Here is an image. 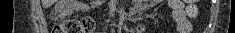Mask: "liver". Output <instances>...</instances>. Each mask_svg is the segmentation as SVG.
<instances>
[{"label": "liver", "instance_id": "liver-1", "mask_svg": "<svg viewBox=\"0 0 235 33\" xmlns=\"http://www.w3.org/2000/svg\"><path fill=\"white\" fill-rule=\"evenodd\" d=\"M41 2L43 8H48L55 3V0H42Z\"/></svg>", "mask_w": 235, "mask_h": 33}]
</instances>
